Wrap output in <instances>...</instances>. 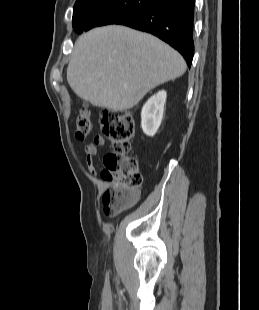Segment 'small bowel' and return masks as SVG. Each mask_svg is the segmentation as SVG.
<instances>
[{
  "label": "small bowel",
  "instance_id": "1",
  "mask_svg": "<svg viewBox=\"0 0 259 310\" xmlns=\"http://www.w3.org/2000/svg\"><path fill=\"white\" fill-rule=\"evenodd\" d=\"M105 145V139L102 136H96L94 142L87 144L84 147V155L86 160V165L89 173L91 175H96L97 169L95 166L94 158L97 155L98 147Z\"/></svg>",
  "mask_w": 259,
  "mask_h": 310
}]
</instances>
